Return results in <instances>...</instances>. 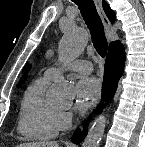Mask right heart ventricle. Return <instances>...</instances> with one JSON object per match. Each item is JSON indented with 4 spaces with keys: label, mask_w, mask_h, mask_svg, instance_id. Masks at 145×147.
I'll return each mask as SVG.
<instances>
[{
    "label": "right heart ventricle",
    "mask_w": 145,
    "mask_h": 147,
    "mask_svg": "<svg viewBox=\"0 0 145 147\" xmlns=\"http://www.w3.org/2000/svg\"><path fill=\"white\" fill-rule=\"evenodd\" d=\"M49 80L45 75L37 78L28 86L22 97L17 130L28 139H51L59 131L60 109L46 96Z\"/></svg>",
    "instance_id": "right-heart-ventricle-1"
}]
</instances>
